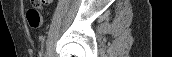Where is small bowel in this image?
<instances>
[{
	"label": "small bowel",
	"instance_id": "c3829d8e",
	"mask_svg": "<svg viewBox=\"0 0 172 57\" xmlns=\"http://www.w3.org/2000/svg\"><path fill=\"white\" fill-rule=\"evenodd\" d=\"M52 3V0H44L43 1V4L44 5H49V4H51Z\"/></svg>",
	"mask_w": 172,
	"mask_h": 57
}]
</instances>
